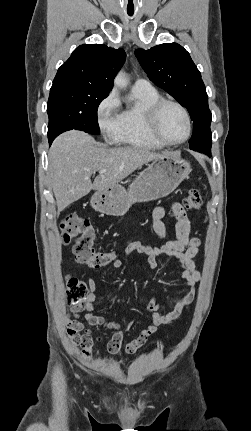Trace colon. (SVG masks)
<instances>
[{
  "mask_svg": "<svg viewBox=\"0 0 251 431\" xmlns=\"http://www.w3.org/2000/svg\"><path fill=\"white\" fill-rule=\"evenodd\" d=\"M202 205V197L197 188L189 190L184 199V206L189 210H198ZM61 238L64 244H73L75 260L92 268H100L111 264L115 254L95 248L96 234L91 222L77 214H70L61 223ZM88 295L84 282L68 277L66 280V299L72 306H82Z\"/></svg>",
  "mask_w": 251,
  "mask_h": 431,
  "instance_id": "1",
  "label": "colon"
}]
</instances>
